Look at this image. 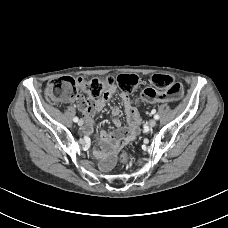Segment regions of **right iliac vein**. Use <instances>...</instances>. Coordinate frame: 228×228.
<instances>
[{
  "instance_id": "right-iliac-vein-1",
  "label": "right iliac vein",
  "mask_w": 228,
  "mask_h": 228,
  "mask_svg": "<svg viewBox=\"0 0 228 228\" xmlns=\"http://www.w3.org/2000/svg\"><path fill=\"white\" fill-rule=\"evenodd\" d=\"M84 124V121L82 120V119H80L79 121H78V125L79 126H82Z\"/></svg>"
}]
</instances>
